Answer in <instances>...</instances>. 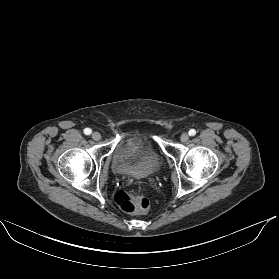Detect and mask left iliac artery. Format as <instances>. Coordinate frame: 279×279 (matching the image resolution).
<instances>
[{
  "instance_id": "44dca946",
  "label": "left iliac artery",
  "mask_w": 279,
  "mask_h": 279,
  "mask_svg": "<svg viewBox=\"0 0 279 279\" xmlns=\"http://www.w3.org/2000/svg\"><path fill=\"white\" fill-rule=\"evenodd\" d=\"M196 134V130L195 129H191L190 131H189V135L190 136H194Z\"/></svg>"
}]
</instances>
